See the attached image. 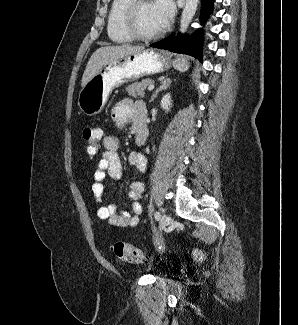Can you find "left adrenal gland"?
<instances>
[{"label":"left adrenal gland","instance_id":"1","mask_svg":"<svg viewBox=\"0 0 298 325\" xmlns=\"http://www.w3.org/2000/svg\"><path fill=\"white\" fill-rule=\"evenodd\" d=\"M172 80L171 78H163V80H161L158 88H156L155 92H153L149 102H152V100H154V98H156L158 92H160V90H166V88H168V86H170Z\"/></svg>","mask_w":298,"mask_h":325}]
</instances>
